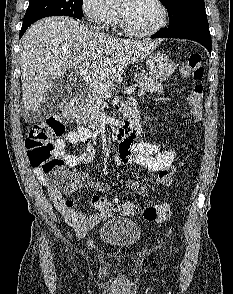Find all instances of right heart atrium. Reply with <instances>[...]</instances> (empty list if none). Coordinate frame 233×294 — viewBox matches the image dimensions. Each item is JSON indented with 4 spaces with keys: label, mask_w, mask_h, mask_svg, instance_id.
<instances>
[{
    "label": "right heart atrium",
    "mask_w": 233,
    "mask_h": 294,
    "mask_svg": "<svg viewBox=\"0 0 233 294\" xmlns=\"http://www.w3.org/2000/svg\"><path fill=\"white\" fill-rule=\"evenodd\" d=\"M81 9L88 22L96 27L110 28L118 21V13L104 0H82Z\"/></svg>",
    "instance_id": "d8ad5b80"
}]
</instances>
